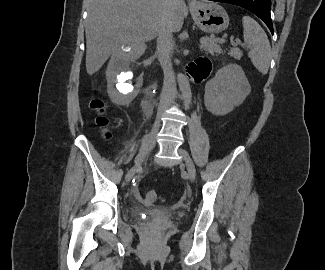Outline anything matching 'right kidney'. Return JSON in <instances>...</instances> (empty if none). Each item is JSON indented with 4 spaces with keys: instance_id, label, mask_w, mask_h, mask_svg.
<instances>
[{
    "instance_id": "ca27d5eb",
    "label": "right kidney",
    "mask_w": 325,
    "mask_h": 270,
    "mask_svg": "<svg viewBox=\"0 0 325 270\" xmlns=\"http://www.w3.org/2000/svg\"><path fill=\"white\" fill-rule=\"evenodd\" d=\"M139 56L129 45L120 46L111 56L106 71L107 92L116 105H129L142 87L143 67L136 63Z\"/></svg>"
}]
</instances>
